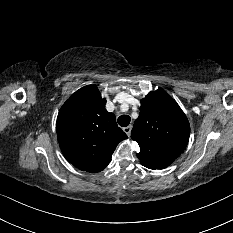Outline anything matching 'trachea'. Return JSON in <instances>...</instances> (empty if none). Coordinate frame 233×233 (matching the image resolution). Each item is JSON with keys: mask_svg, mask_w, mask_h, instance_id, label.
Returning <instances> with one entry per match:
<instances>
[{"mask_svg": "<svg viewBox=\"0 0 233 233\" xmlns=\"http://www.w3.org/2000/svg\"><path fill=\"white\" fill-rule=\"evenodd\" d=\"M131 118L128 115H121L118 117V124L121 127H127L130 124Z\"/></svg>", "mask_w": 233, "mask_h": 233, "instance_id": "obj_1", "label": "trachea"}]
</instances>
